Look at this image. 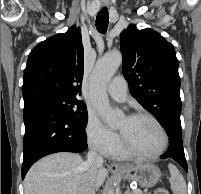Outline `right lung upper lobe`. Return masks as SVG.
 I'll list each match as a JSON object with an SVG mask.
<instances>
[{
	"label": "right lung upper lobe",
	"mask_w": 201,
	"mask_h": 194,
	"mask_svg": "<svg viewBox=\"0 0 201 194\" xmlns=\"http://www.w3.org/2000/svg\"><path fill=\"white\" fill-rule=\"evenodd\" d=\"M83 57L81 33L76 27L35 46L24 70V103L44 95L77 98L81 94Z\"/></svg>",
	"instance_id": "cb5924a9"
}]
</instances>
